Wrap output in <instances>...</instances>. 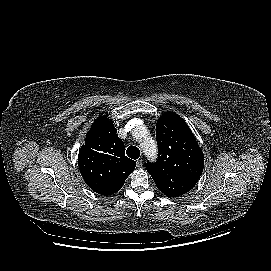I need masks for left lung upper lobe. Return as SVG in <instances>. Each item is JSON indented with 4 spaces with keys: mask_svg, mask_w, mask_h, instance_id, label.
Listing matches in <instances>:
<instances>
[{
    "mask_svg": "<svg viewBox=\"0 0 271 271\" xmlns=\"http://www.w3.org/2000/svg\"><path fill=\"white\" fill-rule=\"evenodd\" d=\"M159 157L146 164L158 189L175 197L178 179L196 184L204 167V155L193 133L178 114L166 112L156 124Z\"/></svg>",
    "mask_w": 271,
    "mask_h": 271,
    "instance_id": "1",
    "label": "left lung upper lobe"
}]
</instances>
